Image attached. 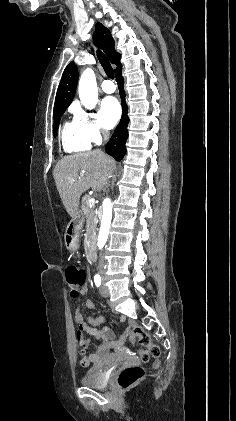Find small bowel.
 I'll list each match as a JSON object with an SVG mask.
<instances>
[{"mask_svg":"<svg viewBox=\"0 0 236 421\" xmlns=\"http://www.w3.org/2000/svg\"><path fill=\"white\" fill-rule=\"evenodd\" d=\"M85 291H86V287H84V289H83V291H82V294L83 293H85ZM85 306L88 308V309H90V310H92L93 309V303L91 302V301H86L85 302ZM75 318H76V321H77V323L79 324V326L81 327L83 324H84V322H83V317H82V315H81V313L79 312V311H77V313H76V315H75ZM90 322H91V324L92 325H98V324H100V322H101V319L99 318V317H96V316H91V318H90ZM117 360V358L114 360V362ZM91 362V358H90V356L89 357H87L86 355H85V353H82V359H81V365L83 366V367H86V366H88L89 365V363Z\"/></svg>","mask_w":236,"mask_h":421,"instance_id":"obj_1","label":"small bowel"}]
</instances>
